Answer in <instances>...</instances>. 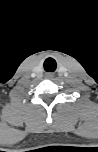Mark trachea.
Instances as JSON below:
<instances>
[{
  "label": "trachea",
  "mask_w": 98,
  "mask_h": 152,
  "mask_svg": "<svg viewBox=\"0 0 98 152\" xmlns=\"http://www.w3.org/2000/svg\"><path fill=\"white\" fill-rule=\"evenodd\" d=\"M44 69L47 72H53L56 69V62L53 58H47L44 62Z\"/></svg>",
  "instance_id": "3493384b"
}]
</instances>
